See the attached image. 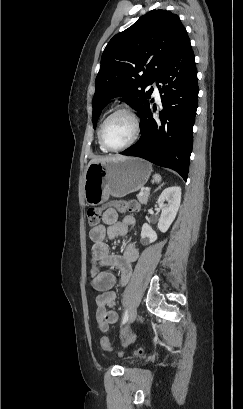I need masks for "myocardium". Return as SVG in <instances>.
I'll list each match as a JSON object with an SVG mask.
<instances>
[{"label": "myocardium", "mask_w": 243, "mask_h": 409, "mask_svg": "<svg viewBox=\"0 0 243 409\" xmlns=\"http://www.w3.org/2000/svg\"><path fill=\"white\" fill-rule=\"evenodd\" d=\"M119 114H126L133 122V127H134V133L133 136L131 137V139L124 145L120 146V147H111L110 145H108L104 139V134H103V130H104V126L106 125V123L113 118L116 115ZM140 132H141V122H140V118L138 116V113L136 112V110L129 106V105H123L120 106L118 108H116L115 110H113L101 123L99 130H98V139L100 144L108 151L111 152H119L122 151L128 147H130L131 145H133L137 139L140 136Z\"/></svg>", "instance_id": "obj_1"}]
</instances>
